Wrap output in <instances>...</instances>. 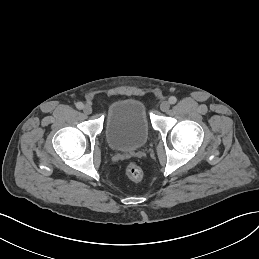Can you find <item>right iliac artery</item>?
Here are the masks:
<instances>
[{
    "instance_id": "obj_1",
    "label": "right iliac artery",
    "mask_w": 259,
    "mask_h": 259,
    "mask_svg": "<svg viewBox=\"0 0 259 259\" xmlns=\"http://www.w3.org/2000/svg\"><path fill=\"white\" fill-rule=\"evenodd\" d=\"M83 107H84V104L82 103V102H78L77 104H76V108L77 109H83Z\"/></svg>"
}]
</instances>
